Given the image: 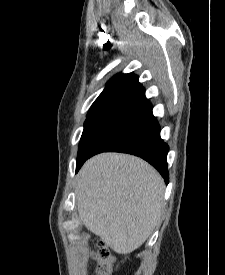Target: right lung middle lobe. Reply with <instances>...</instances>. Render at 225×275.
<instances>
[{
    "label": "right lung middle lobe",
    "mask_w": 225,
    "mask_h": 275,
    "mask_svg": "<svg viewBox=\"0 0 225 275\" xmlns=\"http://www.w3.org/2000/svg\"><path fill=\"white\" fill-rule=\"evenodd\" d=\"M125 118L123 115L107 114L86 119L79 144L76 172L102 138Z\"/></svg>",
    "instance_id": "right-lung-middle-lobe-1"
}]
</instances>
